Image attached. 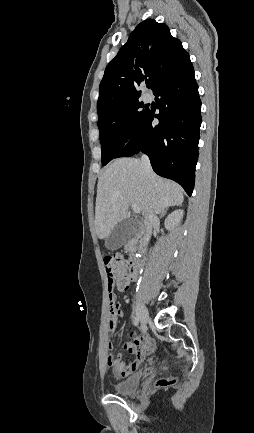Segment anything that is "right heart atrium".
Listing matches in <instances>:
<instances>
[{
  "instance_id": "d8ad5b80",
  "label": "right heart atrium",
  "mask_w": 254,
  "mask_h": 433,
  "mask_svg": "<svg viewBox=\"0 0 254 433\" xmlns=\"http://www.w3.org/2000/svg\"><path fill=\"white\" fill-rule=\"evenodd\" d=\"M118 135L124 142H128L132 138V126L128 121H122L120 123Z\"/></svg>"
}]
</instances>
